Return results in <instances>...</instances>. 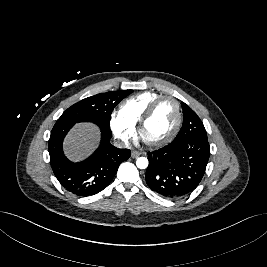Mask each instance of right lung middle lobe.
I'll use <instances>...</instances> for the list:
<instances>
[{
  "label": "right lung middle lobe",
  "instance_id": "obj_1",
  "mask_svg": "<svg viewBox=\"0 0 267 267\" xmlns=\"http://www.w3.org/2000/svg\"><path fill=\"white\" fill-rule=\"evenodd\" d=\"M132 92L133 90L111 91L85 98L69 107L55 125L94 122L109 126L113 109Z\"/></svg>",
  "mask_w": 267,
  "mask_h": 267
}]
</instances>
